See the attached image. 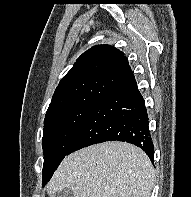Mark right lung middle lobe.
Wrapping results in <instances>:
<instances>
[{"mask_svg": "<svg viewBox=\"0 0 191 197\" xmlns=\"http://www.w3.org/2000/svg\"><path fill=\"white\" fill-rule=\"evenodd\" d=\"M94 106H77L45 117L42 138L43 186L50 180L60 162L67 155Z\"/></svg>", "mask_w": 191, "mask_h": 197, "instance_id": "obj_1", "label": "right lung middle lobe"}]
</instances>
